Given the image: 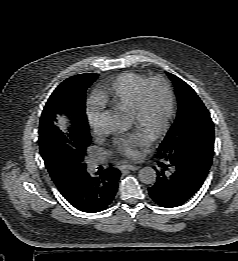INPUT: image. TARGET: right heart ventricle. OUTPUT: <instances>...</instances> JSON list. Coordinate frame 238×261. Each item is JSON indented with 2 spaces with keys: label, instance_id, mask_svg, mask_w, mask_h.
Instances as JSON below:
<instances>
[{
  "label": "right heart ventricle",
  "instance_id": "e07e8e85",
  "mask_svg": "<svg viewBox=\"0 0 238 261\" xmlns=\"http://www.w3.org/2000/svg\"><path fill=\"white\" fill-rule=\"evenodd\" d=\"M146 80L147 77L140 73H123L98 94L96 102L99 105H110L116 109L131 111L138 90Z\"/></svg>",
  "mask_w": 238,
  "mask_h": 261
}]
</instances>
